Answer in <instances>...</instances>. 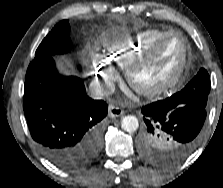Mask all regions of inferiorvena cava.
Returning <instances> with one entry per match:
<instances>
[{
	"instance_id": "inferior-vena-cava-1",
	"label": "inferior vena cava",
	"mask_w": 223,
	"mask_h": 188,
	"mask_svg": "<svg viewBox=\"0 0 223 188\" xmlns=\"http://www.w3.org/2000/svg\"><path fill=\"white\" fill-rule=\"evenodd\" d=\"M115 91V85L111 81L94 80L89 85V93L93 99H102Z\"/></svg>"
}]
</instances>
